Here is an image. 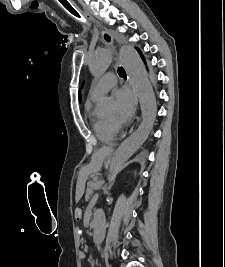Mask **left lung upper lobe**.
<instances>
[{"mask_svg": "<svg viewBox=\"0 0 225 267\" xmlns=\"http://www.w3.org/2000/svg\"><path fill=\"white\" fill-rule=\"evenodd\" d=\"M80 93V92H79ZM79 101L81 102V96H80V94H79Z\"/></svg>", "mask_w": 225, "mask_h": 267, "instance_id": "left-lung-upper-lobe-1", "label": "left lung upper lobe"}]
</instances>
